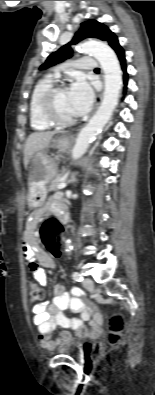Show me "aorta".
<instances>
[{
    "label": "aorta",
    "instance_id": "obj_1",
    "mask_svg": "<svg viewBox=\"0 0 155 395\" xmlns=\"http://www.w3.org/2000/svg\"><path fill=\"white\" fill-rule=\"evenodd\" d=\"M77 50L80 53L94 56L100 63L104 72L105 90L103 100L95 115L79 132L72 149V158L79 159L88 149L90 142L110 120L118 104L122 87V74L120 64L114 51L106 44L97 41L81 43ZM72 249L71 241H66V250Z\"/></svg>",
    "mask_w": 155,
    "mask_h": 395
}]
</instances>
